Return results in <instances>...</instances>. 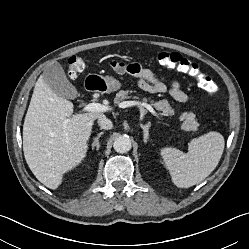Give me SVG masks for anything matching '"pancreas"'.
<instances>
[{"label": "pancreas", "mask_w": 249, "mask_h": 249, "mask_svg": "<svg viewBox=\"0 0 249 249\" xmlns=\"http://www.w3.org/2000/svg\"><path fill=\"white\" fill-rule=\"evenodd\" d=\"M130 93H133V91L132 90H120L116 94L114 102L116 104L122 103L124 100L130 98V96H129ZM136 98H138V97H136ZM142 100L144 102H147L148 100H150V98L144 97ZM150 103L152 106H154V108L156 110L161 111L163 115H172L174 113V110L170 107L168 101H166V100H161V101H157V102L150 100ZM195 117H196L195 114L192 112L183 113L180 117L181 120L184 122L182 125V129H184L186 131H196L199 124L197 123Z\"/></svg>", "instance_id": "pancreas-1"}]
</instances>
